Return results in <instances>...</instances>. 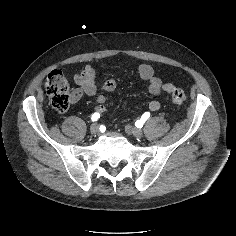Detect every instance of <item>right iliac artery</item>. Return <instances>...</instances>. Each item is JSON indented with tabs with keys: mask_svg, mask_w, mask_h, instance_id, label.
<instances>
[{
	"mask_svg": "<svg viewBox=\"0 0 236 236\" xmlns=\"http://www.w3.org/2000/svg\"><path fill=\"white\" fill-rule=\"evenodd\" d=\"M100 118V114L99 113H94L91 117V120L93 122L97 121Z\"/></svg>",
	"mask_w": 236,
	"mask_h": 236,
	"instance_id": "obj_1",
	"label": "right iliac artery"
}]
</instances>
